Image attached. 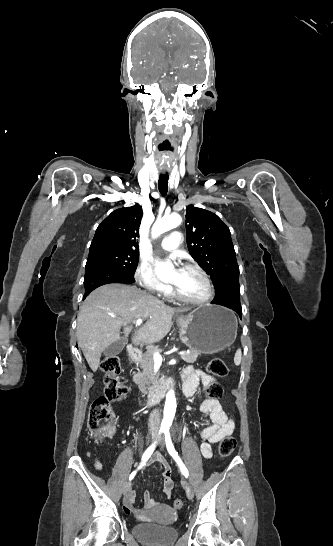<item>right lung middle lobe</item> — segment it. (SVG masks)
I'll use <instances>...</instances> for the list:
<instances>
[{"mask_svg": "<svg viewBox=\"0 0 333 546\" xmlns=\"http://www.w3.org/2000/svg\"><path fill=\"white\" fill-rule=\"evenodd\" d=\"M139 260V252L121 248H101L89 252L86 268L104 266L134 276Z\"/></svg>", "mask_w": 333, "mask_h": 546, "instance_id": "obj_1", "label": "right lung middle lobe"}]
</instances>
